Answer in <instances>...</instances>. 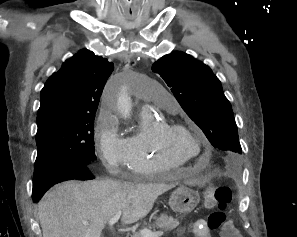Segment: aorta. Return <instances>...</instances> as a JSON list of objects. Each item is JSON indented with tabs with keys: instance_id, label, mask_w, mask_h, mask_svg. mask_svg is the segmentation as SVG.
I'll use <instances>...</instances> for the list:
<instances>
[{
	"instance_id": "obj_1",
	"label": "aorta",
	"mask_w": 297,
	"mask_h": 237,
	"mask_svg": "<svg viewBox=\"0 0 297 237\" xmlns=\"http://www.w3.org/2000/svg\"><path fill=\"white\" fill-rule=\"evenodd\" d=\"M117 108L123 117L128 118L130 116L131 109H132V102L130 97L126 93L125 88H123V90L119 94V97L117 100Z\"/></svg>"
}]
</instances>
